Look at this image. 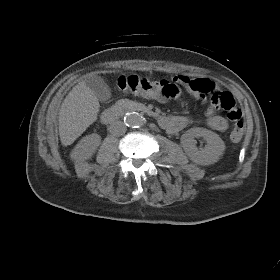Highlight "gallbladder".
I'll return each instance as SVG.
<instances>
[{
	"mask_svg": "<svg viewBox=\"0 0 280 280\" xmlns=\"http://www.w3.org/2000/svg\"><path fill=\"white\" fill-rule=\"evenodd\" d=\"M86 85L95 93L96 97L101 102H105L110 99V88L100 76L89 77L86 80Z\"/></svg>",
	"mask_w": 280,
	"mask_h": 280,
	"instance_id": "gallbladder-1",
	"label": "gallbladder"
}]
</instances>
